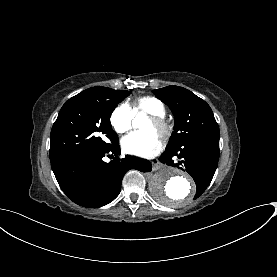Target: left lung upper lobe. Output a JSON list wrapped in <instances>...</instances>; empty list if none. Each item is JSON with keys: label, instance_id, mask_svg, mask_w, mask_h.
Returning a JSON list of instances; mask_svg holds the SVG:
<instances>
[{"label": "left lung upper lobe", "instance_id": "5c2ea615", "mask_svg": "<svg viewBox=\"0 0 277 277\" xmlns=\"http://www.w3.org/2000/svg\"><path fill=\"white\" fill-rule=\"evenodd\" d=\"M167 104L175 117L174 132L167 149L208 134H219V127L210 106L191 91L179 86H167L153 91Z\"/></svg>", "mask_w": 277, "mask_h": 277}]
</instances>
